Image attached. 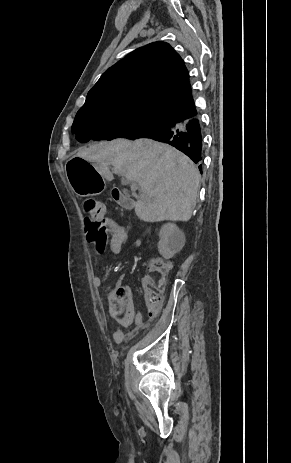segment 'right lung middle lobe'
Segmentation results:
<instances>
[{
  "instance_id": "dd1d6c3e",
  "label": "right lung middle lobe",
  "mask_w": 291,
  "mask_h": 463,
  "mask_svg": "<svg viewBox=\"0 0 291 463\" xmlns=\"http://www.w3.org/2000/svg\"><path fill=\"white\" fill-rule=\"evenodd\" d=\"M164 122L163 116L143 109L88 107L77 112L71 130L80 142L116 138L135 140Z\"/></svg>"
}]
</instances>
